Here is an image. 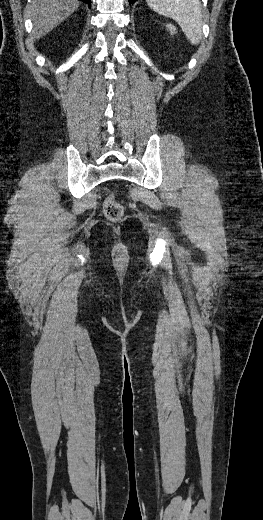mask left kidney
<instances>
[{
  "instance_id": "left-kidney-1",
  "label": "left kidney",
  "mask_w": 263,
  "mask_h": 520,
  "mask_svg": "<svg viewBox=\"0 0 263 520\" xmlns=\"http://www.w3.org/2000/svg\"><path fill=\"white\" fill-rule=\"evenodd\" d=\"M167 28L170 30L171 34L176 33V32H175L176 28H175L173 25L168 24V25H167Z\"/></svg>"
}]
</instances>
